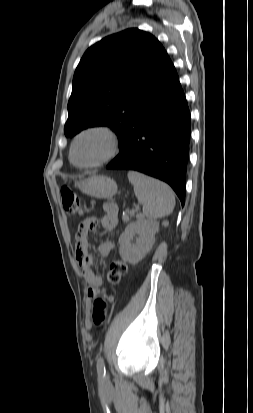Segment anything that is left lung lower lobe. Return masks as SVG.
<instances>
[{"instance_id": "0a47b994", "label": "left lung lower lobe", "mask_w": 253, "mask_h": 413, "mask_svg": "<svg viewBox=\"0 0 253 413\" xmlns=\"http://www.w3.org/2000/svg\"><path fill=\"white\" fill-rule=\"evenodd\" d=\"M190 111L171 62L125 132L108 169L136 170L168 183L185 203Z\"/></svg>"}]
</instances>
